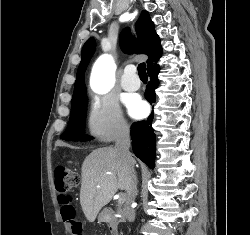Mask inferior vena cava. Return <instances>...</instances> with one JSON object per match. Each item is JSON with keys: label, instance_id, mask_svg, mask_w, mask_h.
Here are the masks:
<instances>
[{"label": "inferior vena cava", "instance_id": "inferior-vena-cava-1", "mask_svg": "<svg viewBox=\"0 0 250 235\" xmlns=\"http://www.w3.org/2000/svg\"><path fill=\"white\" fill-rule=\"evenodd\" d=\"M130 130L129 127L124 124L122 125L118 137L116 139L115 150L127 167L130 174V183L127 188V198L124 206L125 217L133 221L135 219V211L132 208V203L135 200L137 194V177L134 170V159L132 158L129 148H130Z\"/></svg>", "mask_w": 250, "mask_h": 235}]
</instances>
